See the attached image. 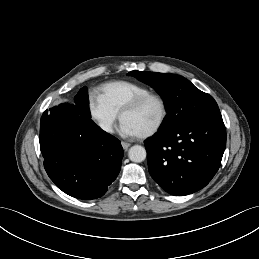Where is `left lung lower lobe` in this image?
Listing matches in <instances>:
<instances>
[{"label":"left lung lower lobe","mask_w":259,"mask_h":259,"mask_svg":"<svg viewBox=\"0 0 259 259\" xmlns=\"http://www.w3.org/2000/svg\"><path fill=\"white\" fill-rule=\"evenodd\" d=\"M152 178L169 194L183 196L205 187L221 164L226 147L222 117L173 131L145 143Z\"/></svg>","instance_id":"left-lung-lower-lobe-1"}]
</instances>
